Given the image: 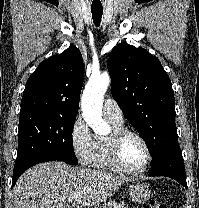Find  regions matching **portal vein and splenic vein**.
Returning <instances> with one entry per match:
<instances>
[{"instance_id":"portal-vein-and-splenic-vein-1","label":"portal vein and splenic vein","mask_w":199,"mask_h":208,"mask_svg":"<svg viewBox=\"0 0 199 208\" xmlns=\"http://www.w3.org/2000/svg\"><path fill=\"white\" fill-rule=\"evenodd\" d=\"M73 201V198L72 197H69L68 198V202H72Z\"/></svg>"}]
</instances>
